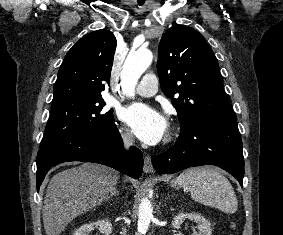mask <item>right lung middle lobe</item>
Listing matches in <instances>:
<instances>
[{
    "label": "right lung middle lobe",
    "instance_id": "1",
    "mask_svg": "<svg viewBox=\"0 0 283 235\" xmlns=\"http://www.w3.org/2000/svg\"><path fill=\"white\" fill-rule=\"evenodd\" d=\"M102 96L71 97L52 103L40 149L81 134H94L114 125L113 111H103Z\"/></svg>",
    "mask_w": 283,
    "mask_h": 235
}]
</instances>
